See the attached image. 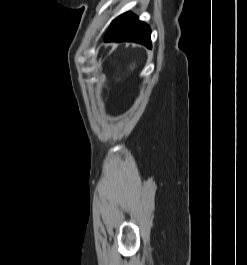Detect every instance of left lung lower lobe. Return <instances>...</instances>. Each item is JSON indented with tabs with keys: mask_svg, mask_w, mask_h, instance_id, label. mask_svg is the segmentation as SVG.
Segmentation results:
<instances>
[{
	"mask_svg": "<svg viewBox=\"0 0 247 265\" xmlns=\"http://www.w3.org/2000/svg\"><path fill=\"white\" fill-rule=\"evenodd\" d=\"M150 34L148 25L139 21L134 14L126 12L112 21L104 41H133L151 48Z\"/></svg>",
	"mask_w": 247,
	"mask_h": 265,
	"instance_id": "1",
	"label": "left lung lower lobe"
}]
</instances>
